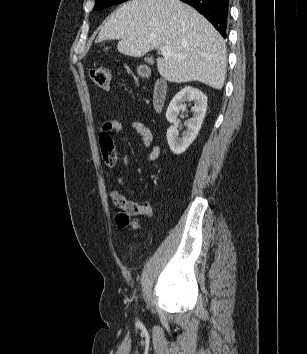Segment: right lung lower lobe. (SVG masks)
<instances>
[{
	"label": "right lung lower lobe",
	"instance_id": "1",
	"mask_svg": "<svg viewBox=\"0 0 307 354\" xmlns=\"http://www.w3.org/2000/svg\"><path fill=\"white\" fill-rule=\"evenodd\" d=\"M193 6L204 15L220 32L227 37V24L229 18V0H181Z\"/></svg>",
	"mask_w": 307,
	"mask_h": 354
}]
</instances>
